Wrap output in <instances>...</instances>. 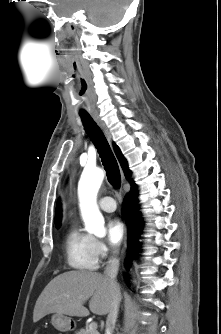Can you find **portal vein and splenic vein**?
<instances>
[{
    "mask_svg": "<svg viewBox=\"0 0 221 334\" xmlns=\"http://www.w3.org/2000/svg\"><path fill=\"white\" fill-rule=\"evenodd\" d=\"M89 330L90 331H97V323L96 322L90 323Z\"/></svg>",
    "mask_w": 221,
    "mask_h": 334,
    "instance_id": "18ae733b",
    "label": "portal vein and splenic vein"
}]
</instances>
